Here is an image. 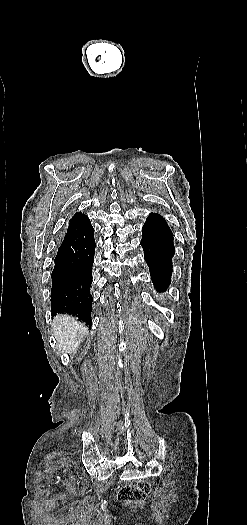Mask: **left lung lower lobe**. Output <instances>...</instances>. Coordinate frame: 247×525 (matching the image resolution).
I'll use <instances>...</instances> for the list:
<instances>
[{"instance_id": "1", "label": "left lung lower lobe", "mask_w": 247, "mask_h": 525, "mask_svg": "<svg viewBox=\"0 0 247 525\" xmlns=\"http://www.w3.org/2000/svg\"><path fill=\"white\" fill-rule=\"evenodd\" d=\"M141 246L149 266L152 282L159 291L166 290L172 273L173 233L165 219L150 213L142 227Z\"/></svg>"}]
</instances>
